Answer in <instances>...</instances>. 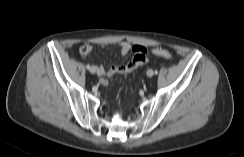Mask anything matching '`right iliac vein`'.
<instances>
[{
	"label": "right iliac vein",
	"mask_w": 244,
	"mask_h": 157,
	"mask_svg": "<svg viewBox=\"0 0 244 157\" xmlns=\"http://www.w3.org/2000/svg\"><path fill=\"white\" fill-rule=\"evenodd\" d=\"M90 73H91V74H95V73H96V69H95V67L92 66V67L90 68Z\"/></svg>",
	"instance_id": "1"
}]
</instances>
